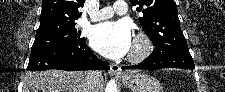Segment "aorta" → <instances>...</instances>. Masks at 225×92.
<instances>
[{"mask_svg":"<svg viewBox=\"0 0 225 92\" xmlns=\"http://www.w3.org/2000/svg\"><path fill=\"white\" fill-rule=\"evenodd\" d=\"M105 92H117V84L114 79H111L106 86Z\"/></svg>","mask_w":225,"mask_h":92,"instance_id":"obj_1","label":"aorta"}]
</instances>
